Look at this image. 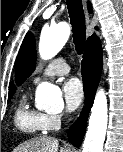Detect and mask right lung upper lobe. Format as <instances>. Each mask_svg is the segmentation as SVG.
<instances>
[{"label":"right lung upper lobe","mask_w":123,"mask_h":152,"mask_svg":"<svg viewBox=\"0 0 123 152\" xmlns=\"http://www.w3.org/2000/svg\"><path fill=\"white\" fill-rule=\"evenodd\" d=\"M88 8H89V12H91V7H90V5H88ZM94 36H96V35L93 34V35L90 36L88 39H90V38H92V37H94ZM14 92H15V87H14V84H13V82H12L11 85H10V89H9V95H10V94H14Z\"/></svg>","instance_id":"obj_1"}]
</instances>
